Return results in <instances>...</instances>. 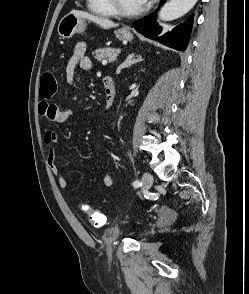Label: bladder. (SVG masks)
<instances>
[{"label": "bladder", "instance_id": "bladder-1", "mask_svg": "<svg viewBox=\"0 0 249 294\" xmlns=\"http://www.w3.org/2000/svg\"><path fill=\"white\" fill-rule=\"evenodd\" d=\"M119 237H120V232L117 231L114 228H111V229L107 230L103 234V240L104 241H116Z\"/></svg>", "mask_w": 249, "mask_h": 294}]
</instances>
